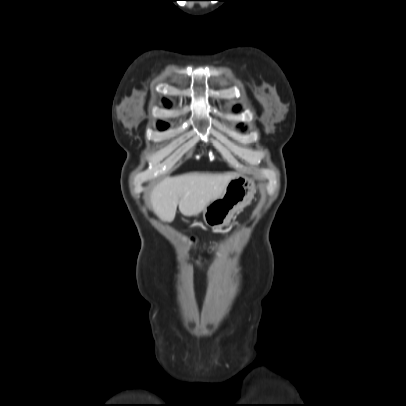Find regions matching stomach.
I'll list each match as a JSON object with an SVG mask.
<instances>
[{
  "label": "stomach",
  "mask_w": 406,
  "mask_h": 406,
  "mask_svg": "<svg viewBox=\"0 0 406 406\" xmlns=\"http://www.w3.org/2000/svg\"><path fill=\"white\" fill-rule=\"evenodd\" d=\"M254 194L253 180L237 175L228 183L223 194L203 210L205 224L214 229L227 226L234 214L251 202Z\"/></svg>",
  "instance_id": "0dacf381"
}]
</instances>
